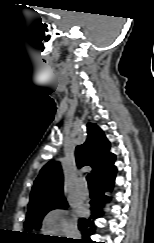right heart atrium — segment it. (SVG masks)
I'll return each mask as SVG.
<instances>
[{"mask_svg":"<svg viewBox=\"0 0 154 243\" xmlns=\"http://www.w3.org/2000/svg\"><path fill=\"white\" fill-rule=\"evenodd\" d=\"M43 230L51 234H71L74 232V226L64 217L60 209L48 212L42 221Z\"/></svg>","mask_w":154,"mask_h":243,"instance_id":"1","label":"right heart atrium"}]
</instances>
